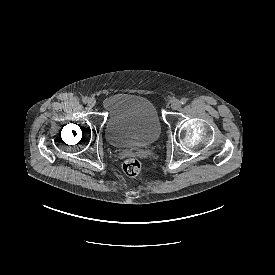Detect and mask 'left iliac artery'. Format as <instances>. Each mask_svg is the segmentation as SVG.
Instances as JSON below:
<instances>
[{
	"mask_svg": "<svg viewBox=\"0 0 275 275\" xmlns=\"http://www.w3.org/2000/svg\"><path fill=\"white\" fill-rule=\"evenodd\" d=\"M180 103H181L182 105L186 104V103H187V99H186V98H182V99L180 100Z\"/></svg>",
	"mask_w": 275,
	"mask_h": 275,
	"instance_id": "obj_1",
	"label": "left iliac artery"
}]
</instances>
